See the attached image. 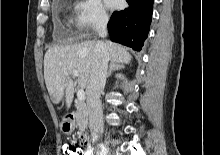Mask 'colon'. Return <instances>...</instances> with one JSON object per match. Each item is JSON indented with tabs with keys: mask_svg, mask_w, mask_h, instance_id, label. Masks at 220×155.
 <instances>
[{
	"mask_svg": "<svg viewBox=\"0 0 220 155\" xmlns=\"http://www.w3.org/2000/svg\"><path fill=\"white\" fill-rule=\"evenodd\" d=\"M86 145H87V143H86ZM86 145H77L74 143H64L63 147H62L63 155H82Z\"/></svg>",
	"mask_w": 220,
	"mask_h": 155,
	"instance_id": "5ec220e1",
	"label": "colon"
}]
</instances>
